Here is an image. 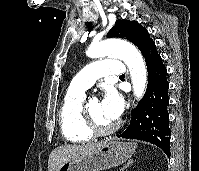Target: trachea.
I'll use <instances>...</instances> for the list:
<instances>
[{"instance_id": "trachea-1", "label": "trachea", "mask_w": 199, "mask_h": 171, "mask_svg": "<svg viewBox=\"0 0 199 171\" xmlns=\"http://www.w3.org/2000/svg\"><path fill=\"white\" fill-rule=\"evenodd\" d=\"M125 75H121L120 77H124Z\"/></svg>"}]
</instances>
